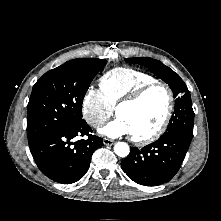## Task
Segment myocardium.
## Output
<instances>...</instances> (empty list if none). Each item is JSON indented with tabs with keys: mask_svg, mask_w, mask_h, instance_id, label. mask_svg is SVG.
<instances>
[{
	"mask_svg": "<svg viewBox=\"0 0 221 221\" xmlns=\"http://www.w3.org/2000/svg\"><path fill=\"white\" fill-rule=\"evenodd\" d=\"M155 87H162L165 89L167 96H168L167 110L160 125L152 133L142 136V137H136V136L131 135V140L136 144L144 145V144L152 143L156 141L158 138H160V136L165 132L171 120L173 110H174V105H175V97H174V93L172 89L167 83L163 81L155 80L153 82L147 83L139 87L137 90H135L128 96L121 99L115 106V113L117 115L118 111L122 107L127 106V105H134L138 103L148 91H150L151 89Z\"/></svg>",
	"mask_w": 221,
	"mask_h": 221,
	"instance_id": "myocardium-1",
	"label": "myocardium"
}]
</instances>
